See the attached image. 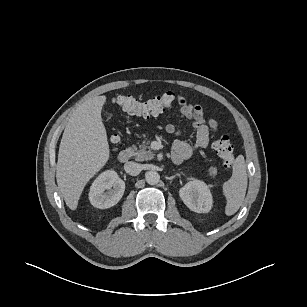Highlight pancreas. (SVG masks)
Returning <instances> with one entry per match:
<instances>
[{"mask_svg":"<svg viewBox=\"0 0 307 307\" xmlns=\"http://www.w3.org/2000/svg\"><path fill=\"white\" fill-rule=\"evenodd\" d=\"M148 145H149V142L144 141L141 145H139V148H137L136 146L131 147L135 160L137 161L146 160L147 161V160H151L154 158L155 154ZM208 172L211 177H215L217 175V168L211 166Z\"/></svg>","mask_w":307,"mask_h":307,"instance_id":"cf45deb5","label":"pancreas"}]
</instances>
